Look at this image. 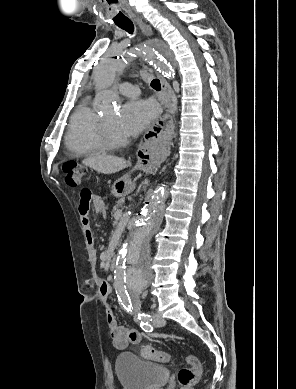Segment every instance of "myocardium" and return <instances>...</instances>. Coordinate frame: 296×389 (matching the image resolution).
<instances>
[{
	"label": "myocardium",
	"mask_w": 296,
	"mask_h": 389,
	"mask_svg": "<svg viewBox=\"0 0 296 389\" xmlns=\"http://www.w3.org/2000/svg\"><path fill=\"white\" fill-rule=\"evenodd\" d=\"M99 137L105 149H116L126 144L127 140L123 136H114L108 129L103 118L99 119Z\"/></svg>",
	"instance_id": "f54148a6"
}]
</instances>
